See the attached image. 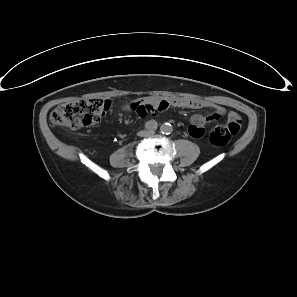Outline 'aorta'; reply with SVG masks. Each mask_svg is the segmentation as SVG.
I'll use <instances>...</instances> for the list:
<instances>
[{
    "label": "aorta",
    "mask_w": 297,
    "mask_h": 297,
    "mask_svg": "<svg viewBox=\"0 0 297 297\" xmlns=\"http://www.w3.org/2000/svg\"><path fill=\"white\" fill-rule=\"evenodd\" d=\"M160 131L164 134H170L172 132V126L169 123H164L160 127Z\"/></svg>",
    "instance_id": "762f6f07"
}]
</instances>
